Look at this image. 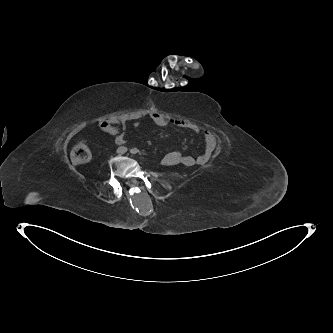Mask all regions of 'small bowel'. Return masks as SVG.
<instances>
[{"label": "small bowel", "instance_id": "1", "mask_svg": "<svg viewBox=\"0 0 333 333\" xmlns=\"http://www.w3.org/2000/svg\"><path fill=\"white\" fill-rule=\"evenodd\" d=\"M142 117V115L137 113L113 117L100 121L98 123V127L102 132L115 136V140L118 144H124L126 142L125 131L127 126L131 125L133 128H137ZM149 118L158 126L165 127L168 125H174L180 128L191 130L197 134H202L204 138V150L196 157L182 154L183 156L180 159L170 160L167 163L161 162L163 165H183L185 167H194L204 165L210 160L216 146V137L211 131L202 130L198 125L192 123L191 121L170 119L158 112L151 113Z\"/></svg>", "mask_w": 333, "mask_h": 333}]
</instances>
